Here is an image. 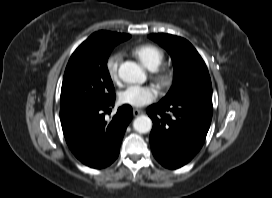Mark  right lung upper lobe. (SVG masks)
<instances>
[{
  "label": "right lung upper lobe",
  "instance_id": "right-lung-upper-lobe-1",
  "mask_svg": "<svg viewBox=\"0 0 272 198\" xmlns=\"http://www.w3.org/2000/svg\"><path fill=\"white\" fill-rule=\"evenodd\" d=\"M129 36L130 35H127V34L108 32V31L95 32L75 50V52L70 57L67 67H70L73 64H75L82 55L91 51V49H93L95 46L105 41L124 39Z\"/></svg>",
  "mask_w": 272,
  "mask_h": 198
}]
</instances>
